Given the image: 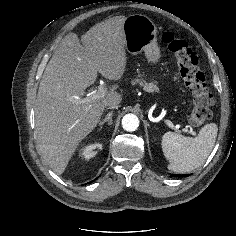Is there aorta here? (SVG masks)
Returning a JSON list of instances; mask_svg holds the SVG:
<instances>
[{
	"instance_id": "aorta-1",
	"label": "aorta",
	"mask_w": 236,
	"mask_h": 236,
	"mask_svg": "<svg viewBox=\"0 0 236 236\" xmlns=\"http://www.w3.org/2000/svg\"><path fill=\"white\" fill-rule=\"evenodd\" d=\"M139 126V119L134 114H126L122 119V127L124 130L132 132Z\"/></svg>"
}]
</instances>
